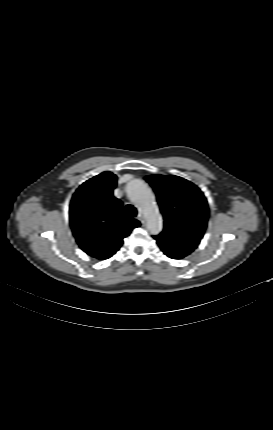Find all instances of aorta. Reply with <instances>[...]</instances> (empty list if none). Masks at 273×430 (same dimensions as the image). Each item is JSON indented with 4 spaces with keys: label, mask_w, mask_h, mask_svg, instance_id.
<instances>
[{
    "label": "aorta",
    "mask_w": 273,
    "mask_h": 430,
    "mask_svg": "<svg viewBox=\"0 0 273 430\" xmlns=\"http://www.w3.org/2000/svg\"><path fill=\"white\" fill-rule=\"evenodd\" d=\"M127 194L145 217L148 231L155 235L163 228V219L154 202L151 188L142 180L135 179L128 184Z\"/></svg>",
    "instance_id": "aorta-1"
}]
</instances>
